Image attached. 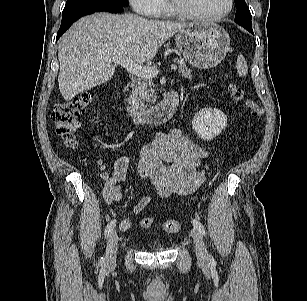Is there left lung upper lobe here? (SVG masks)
I'll return each instance as SVG.
<instances>
[{"instance_id":"1","label":"left lung upper lobe","mask_w":307,"mask_h":301,"mask_svg":"<svg viewBox=\"0 0 307 301\" xmlns=\"http://www.w3.org/2000/svg\"><path fill=\"white\" fill-rule=\"evenodd\" d=\"M234 1L237 9L235 15V22L243 26L244 28L247 27L252 28V23H251L252 16L245 0H234Z\"/></svg>"}]
</instances>
